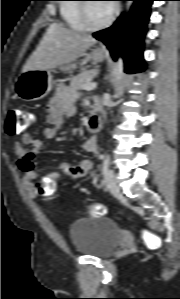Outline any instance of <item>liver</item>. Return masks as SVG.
I'll return each instance as SVG.
<instances>
[{"mask_svg":"<svg viewBox=\"0 0 180 299\" xmlns=\"http://www.w3.org/2000/svg\"><path fill=\"white\" fill-rule=\"evenodd\" d=\"M91 35L81 33L61 24L52 23L35 51L26 61L23 71L50 70L69 64L96 43Z\"/></svg>","mask_w":180,"mask_h":299,"instance_id":"obj_1","label":"liver"}]
</instances>
